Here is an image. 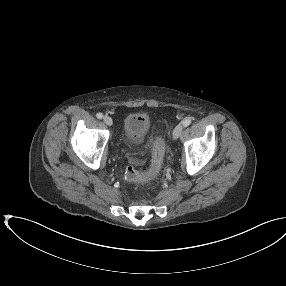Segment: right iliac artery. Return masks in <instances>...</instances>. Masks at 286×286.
Returning a JSON list of instances; mask_svg holds the SVG:
<instances>
[{"mask_svg":"<svg viewBox=\"0 0 286 286\" xmlns=\"http://www.w3.org/2000/svg\"><path fill=\"white\" fill-rule=\"evenodd\" d=\"M96 117H97L98 119H102V118H103V114H102V113H97V114H96Z\"/></svg>","mask_w":286,"mask_h":286,"instance_id":"1","label":"right iliac artery"}]
</instances>
